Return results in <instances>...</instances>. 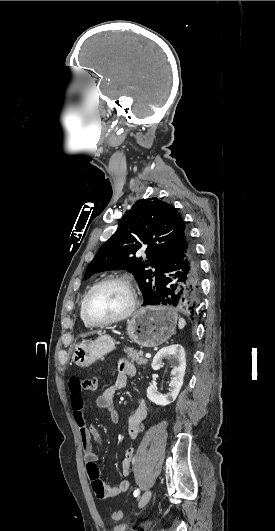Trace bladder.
Wrapping results in <instances>:
<instances>
[{
	"label": "bladder",
	"instance_id": "obj_1",
	"mask_svg": "<svg viewBox=\"0 0 275 531\" xmlns=\"http://www.w3.org/2000/svg\"><path fill=\"white\" fill-rule=\"evenodd\" d=\"M126 526L127 525L123 521L117 522L115 525L116 529L114 531H126L125 530ZM140 527H141V531H149L150 523L148 522L142 523L140 524Z\"/></svg>",
	"mask_w": 275,
	"mask_h": 531
}]
</instances>
